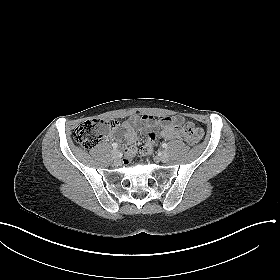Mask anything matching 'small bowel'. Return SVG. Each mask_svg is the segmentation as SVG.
<instances>
[{"label":"small bowel","mask_w":280,"mask_h":280,"mask_svg":"<svg viewBox=\"0 0 280 280\" xmlns=\"http://www.w3.org/2000/svg\"><path fill=\"white\" fill-rule=\"evenodd\" d=\"M183 118L180 116L164 117L156 120L151 115H142L141 117H134L123 123V134L121 138L126 141L128 147L125 150L127 158L132 157L137 152L135 142L137 140V131L135 127L140 124L146 131L147 143L152 148L157 144L158 138L164 139H180L183 136L182 123ZM159 128V132L155 128Z\"/></svg>","instance_id":"1"}]
</instances>
